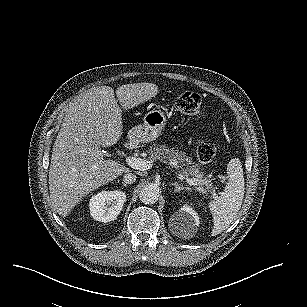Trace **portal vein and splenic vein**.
Listing matches in <instances>:
<instances>
[{
	"mask_svg": "<svg viewBox=\"0 0 307 307\" xmlns=\"http://www.w3.org/2000/svg\"><path fill=\"white\" fill-rule=\"evenodd\" d=\"M126 163L131 168L136 169V170H140V171L149 170L153 166V163L151 161L140 159V158H135V157H127ZM185 180L190 186H197L198 185V183L192 178L186 177ZM197 190L201 191V192L204 191V189L200 186L197 188Z\"/></svg>",
	"mask_w": 307,
	"mask_h": 307,
	"instance_id": "portal-vein-and-splenic-vein-1",
	"label": "portal vein and splenic vein"
}]
</instances>
